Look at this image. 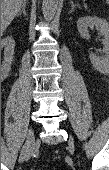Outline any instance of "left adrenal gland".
<instances>
[{"instance_id":"left-adrenal-gland-1","label":"left adrenal gland","mask_w":109,"mask_h":170,"mask_svg":"<svg viewBox=\"0 0 109 170\" xmlns=\"http://www.w3.org/2000/svg\"><path fill=\"white\" fill-rule=\"evenodd\" d=\"M71 3V10L69 11V13L73 12L74 8L78 5H76L75 3H73V1L70 2Z\"/></svg>"}]
</instances>
